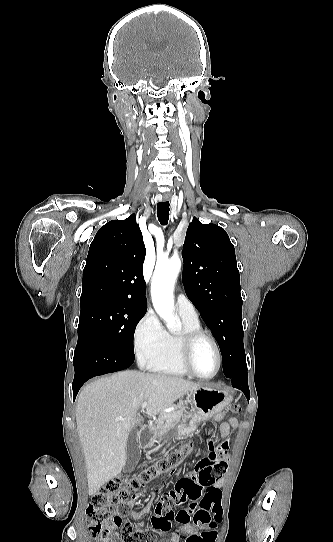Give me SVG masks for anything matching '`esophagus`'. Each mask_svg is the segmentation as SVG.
I'll return each mask as SVG.
<instances>
[{
	"mask_svg": "<svg viewBox=\"0 0 333 542\" xmlns=\"http://www.w3.org/2000/svg\"><path fill=\"white\" fill-rule=\"evenodd\" d=\"M171 198V194L170 193H165L163 194V200H169Z\"/></svg>",
	"mask_w": 333,
	"mask_h": 542,
	"instance_id": "obj_1",
	"label": "esophagus"
}]
</instances>
